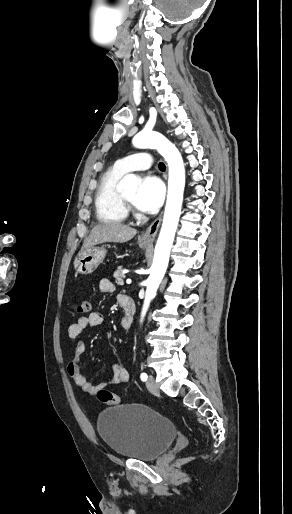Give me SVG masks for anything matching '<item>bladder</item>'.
I'll return each mask as SVG.
<instances>
[{"instance_id":"obj_1","label":"bladder","mask_w":292,"mask_h":514,"mask_svg":"<svg viewBox=\"0 0 292 514\" xmlns=\"http://www.w3.org/2000/svg\"><path fill=\"white\" fill-rule=\"evenodd\" d=\"M97 432L116 455L151 461L174 442L177 429L167 417L141 404H124L103 410Z\"/></svg>"}]
</instances>
